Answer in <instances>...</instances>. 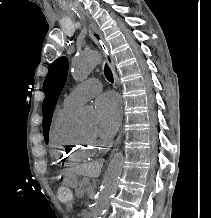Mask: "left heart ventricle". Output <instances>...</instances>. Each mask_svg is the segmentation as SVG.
<instances>
[{
  "label": "left heart ventricle",
  "mask_w": 211,
  "mask_h": 218,
  "mask_svg": "<svg viewBox=\"0 0 211 218\" xmlns=\"http://www.w3.org/2000/svg\"><path fill=\"white\" fill-rule=\"evenodd\" d=\"M84 133L91 136L95 134V130H88V131H85Z\"/></svg>",
  "instance_id": "obj_1"
}]
</instances>
